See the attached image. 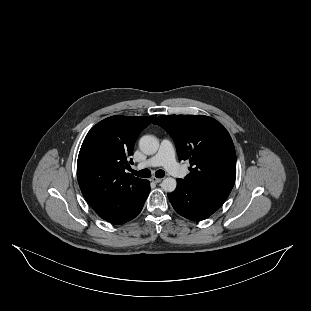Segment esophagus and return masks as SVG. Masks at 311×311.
<instances>
[{"mask_svg":"<svg viewBox=\"0 0 311 311\" xmlns=\"http://www.w3.org/2000/svg\"><path fill=\"white\" fill-rule=\"evenodd\" d=\"M150 180L152 182H154V183H160L163 179L162 178H157V177H152Z\"/></svg>","mask_w":311,"mask_h":311,"instance_id":"esophagus-1","label":"esophagus"}]
</instances>
